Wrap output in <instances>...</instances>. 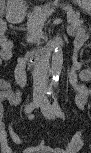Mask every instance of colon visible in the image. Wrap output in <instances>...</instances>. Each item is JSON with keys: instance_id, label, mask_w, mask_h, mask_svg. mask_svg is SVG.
<instances>
[{"instance_id": "obj_1", "label": "colon", "mask_w": 91, "mask_h": 153, "mask_svg": "<svg viewBox=\"0 0 91 153\" xmlns=\"http://www.w3.org/2000/svg\"><path fill=\"white\" fill-rule=\"evenodd\" d=\"M6 28V26L4 25H0V38H1V41H2V46H4L7 42H8V39L6 37V34L5 32H3V28ZM6 31V30H5Z\"/></svg>"}]
</instances>
